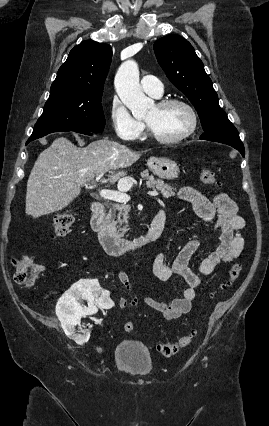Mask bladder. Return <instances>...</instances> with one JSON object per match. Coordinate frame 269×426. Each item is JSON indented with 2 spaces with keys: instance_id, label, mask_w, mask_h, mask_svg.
<instances>
[{
  "instance_id": "31cf9c89",
  "label": "bladder",
  "mask_w": 269,
  "mask_h": 426,
  "mask_svg": "<svg viewBox=\"0 0 269 426\" xmlns=\"http://www.w3.org/2000/svg\"><path fill=\"white\" fill-rule=\"evenodd\" d=\"M114 363L127 373L145 376L153 369V361L147 347L132 340H121L114 350Z\"/></svg>"
}]
</instances>
